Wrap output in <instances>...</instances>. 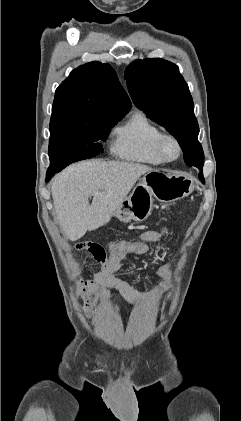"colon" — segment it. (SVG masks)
Masks as SVG:
<instances>
[{
  "mask_svg": "<svg viewBox=\"0 0 241 421\" xmlns=\"http://www.w3.org/2000/svg\"><path fill=\"white\" fill-rule=\"evenodd\" d=\"M77 248L85 250L97 262H103L106 259V249L100 243L83 242L78 244ZM148 248L149 244L140 242L139 240H116L108 245L109 253L118 255L144 254L148 251Z\"/></svg>",
  "mask_w": 241,
  "mask_h": 421,
  "instance_id": "5ec220e1",
  "label": "colon"
}]
</instances>
